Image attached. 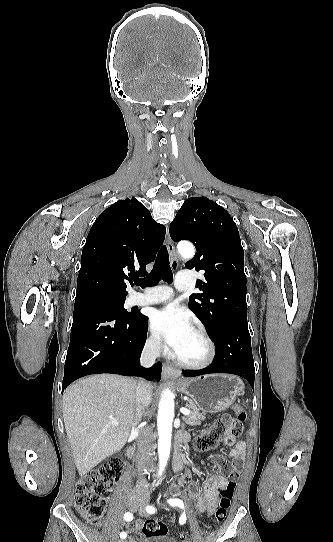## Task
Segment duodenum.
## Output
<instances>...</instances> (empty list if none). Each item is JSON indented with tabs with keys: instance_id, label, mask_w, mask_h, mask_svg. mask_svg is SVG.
I'll return each instance as SVG.
<instances>
[{
	"instance_id": "410a0bca",
	"label": "duodenum",
	"mask_w": 333,
	"mask_h": 542,
	"mask_svg": "<svg viewBox=\"0 0 333 542\" xmlns=\"http://www.w3.org/2000/svg\"><path fill=\"white\" fill-rule=\"evenodd\" d=\"M189 440V436L186 434H179L175 438V451L173 457V467L176 472H180L183 466V452L182 448L185 442ZM128 456L132 458L134 456V448L131 447L128 450Z\"/></svg>"
}]
</instances>
